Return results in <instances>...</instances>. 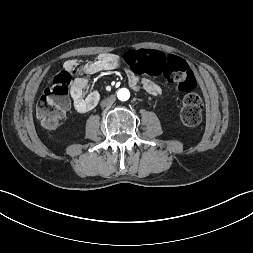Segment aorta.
Returning a JSON list of instances; mask_svg holds the SVG:
<instances>
[{
  "mask_svg": "<svg viewBox=\"0 0 253 253\" xmlns=\"http://www.w3.org/2000/svg\"><path fill=\"white\" fill-rule=\"evenodd\" d=\"M117 96H118V99L121 100V101H126L129 99L130 97V93L128 91V89L126 88H122L118 91L117 93Z\"/></svg>",
  "mask_w": 253,
  "mask_h": 253,
  "instance_id": "obj_1",
  "label": "aorta"
}]
</instances>
